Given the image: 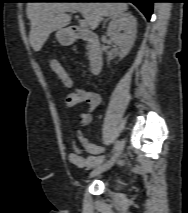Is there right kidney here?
I'll use <instances>...</instances> for the list:
<instances>
[{"label": "right kidney", "instance_id": "ca27d5eb", "mask_svg": "<svg viewBox=\"0 0 188 213\" xmlns=\"http://www.w3.org/2000/svg\"><path fill=\"white\" fill-rule=\"evenodd\" d=\"M137 33V20L130 13H121L112 17L107 35L119 46V57L123 59L134 45Z\"/></svg>", "mask_w": 188, "mask_h": 213}]
</instances>
